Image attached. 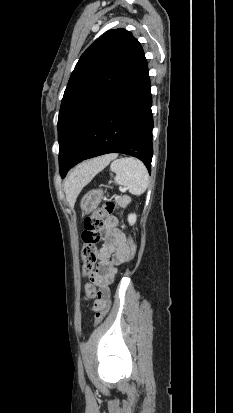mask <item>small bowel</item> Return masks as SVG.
Wrapping results in <instances>:
<instances>
[{
  "label": "small bowel",
  "mask_w": 233,
  "mask_h": 413,
  "mask_svg": "<svg viewBox=\"0 0 233 413\" xmlns=\"http://www.w3.org/2000/svg\"><path fill=\"white\" fill-rule=\"evenodd\" d=\"M127 237L117 228V220L112 217L106 220L104 244L99 250V261L96 271L90 276L91 283L86 284L88 297L86 302L95 298V288H98L95 305L105 306L109 298V285L113 282L118 266L126 262Z\"/></svg>",
  "instance_id": "obj_1"
}]
</instances>
